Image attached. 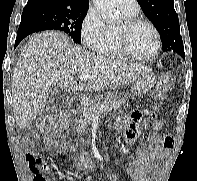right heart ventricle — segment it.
I'll return each mask as SVG.
<instances>
[{"label":"right heart ventricle","instance_id":"obj_1","mask_svg":"<svg viewBox=\"0 0 197 181\" xmlns=\"http://www.w3.org/2000/svg\"><path fill=\"white\" fill-rule=\"evenodd\" d=\"M126 17H134L138 12L135 13H126L123 12ZM99 53L103 56L108 57H126L125 54L120 50L117 40H116V29L113 27H109L108 38L103 45V47L99 50Z\"/></svg>","mask_w":197,"mask_h":181}]
</instances>
